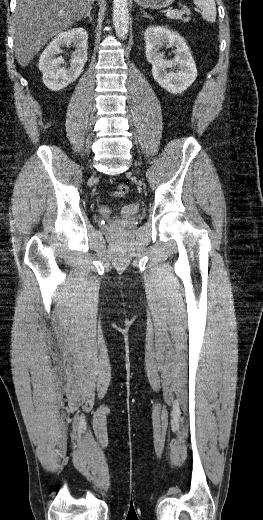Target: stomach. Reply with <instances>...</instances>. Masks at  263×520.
<instances>
[{
    "instance_id": "obj_1",
    "label": "stomach",
    "mask_w": 263,
    "mask_h": 520,
    "mask_svg": "<svg viewBox=\"0 0 263 520\" xmlns=\"http://www.w3.org/2000/svg\"><path fill=\"white\" fill-rule=\"evenodd\" d=\"M175 0H135V2L143 7L149 9H162L171 5Z\"/></svg>"
}]
</instances>
